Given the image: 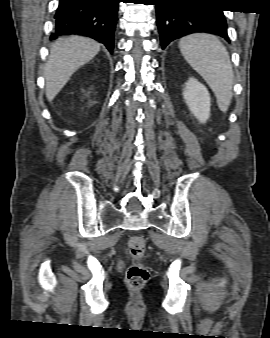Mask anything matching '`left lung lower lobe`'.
I'll use <instances>...</instances> for the list:
<instances>
[{
  "label": "left lung lower lobe",
  "instance_id": "0a47b994",
  "mask_svg": "<svg viewBox=\"0 0 270 338\" xmlns=\"http://www.w3.org/2000/svg\"><path fill=\"white\" fill-rule=\"evenodd\" d=\"M162 49L187 34L208 32L229 42L227 23L216 0H155Z\"/></svg>",
  "mask_w": 270,
  "mask_h": 338
}]
</instances>
